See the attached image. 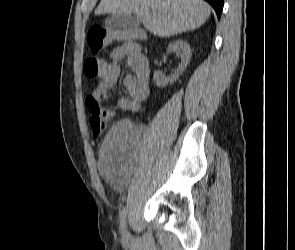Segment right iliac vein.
<instances>
[{
    "mask_svg": "<svg viewBox=\"0 0 295 250\" xmlns=\"http://www.w3.org/2000/svg\"><path fill=\"white\" fill-rule=\"evenodd\" d=\"M122 235H123V237L125 238V237H126V235H127V232H126V233H122Z\"/></svg>",
    "mask_w": 295,
    "mask_h": 250,
    "instance_id": "1",
    "label": "right iliac vein"
}]
</instances>
